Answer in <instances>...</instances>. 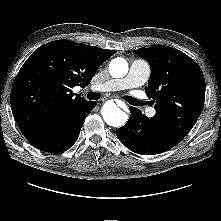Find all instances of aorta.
<instances>
[{
    "label": "aorta",
    "instance_id": "1",
    "mask_svg": "<svg viewBox=\"0 0 221 221\" xmlns=\"http://www.w3.org/2000/svg\"><path fill=\"white\" fill-rule=\"evenodd\" d=\"M128 72V63L124 58L117 57L109 64V73L113 78H123ZM106 124L113 127L123 126L128 115L122 111L113 101H107L101 110Z\"/></svg>",
    "mask_w": 221,
    "mask_h": 221
}]
</instances>
